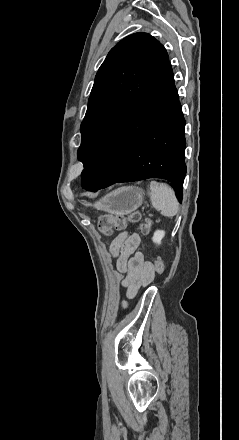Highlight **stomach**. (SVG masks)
<instances>
[{"instance_id":"obj_1","label":"stomach","mask_w":239,"mask_h":440,"mask_svg":"<svg viewBox=\"0 0 239 440\" xmlns=\"http://www.w3.org/2000/svg\"><path fill=\"white\" fill-rule=\"evenodd\" d=\"M145 192L142 188H136V186H123V188H117L113 190L95 204H89L85 202V206H93L96 210H103L113 216H126L131 214L134 210H137L139 206H142L144 202Z\"/></svg>"}]
</instances>
